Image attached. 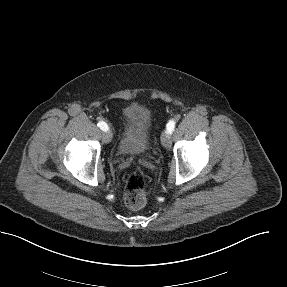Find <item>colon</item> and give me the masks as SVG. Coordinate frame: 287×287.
Instances as JSON below:
<instances>
[{
	"instance_id": "1",
	"label": "colon",
	"mask_w": 287,
	"mask_h": 287,
	"mask_svg": "<svg viewBox=\"0 0 287 287\" xmlns=\"http://www.w3.org/2000/svg\"><path fill=\"white\" fill-rule=\"evenodd\" d=\"M147 182L141 172H131L126 181L124 199L131 209H139L146 203Z\"/></svg>"
}]
</instances>
